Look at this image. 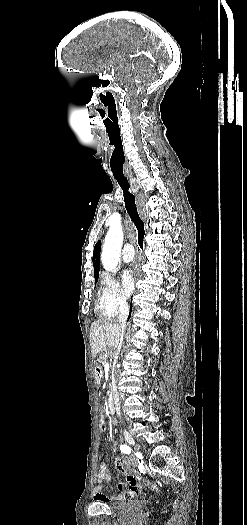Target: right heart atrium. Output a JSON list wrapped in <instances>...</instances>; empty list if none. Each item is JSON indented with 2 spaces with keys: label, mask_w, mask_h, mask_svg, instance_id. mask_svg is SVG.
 I'll return each instance as SVG.
<instances>
[{
  "label": "right heart atrium",
  "mask_w": 247,
  "mask_h": 525,
  "mask_svg": "<svg viewBox=\"0 0 247 525\" xmlns=\"http://www.w3.org/2000/svg\"><path fill=\"white\" fill-rule=\"evenodd\" d=\"M102 288L98 303L103 311L109 315H116L127 305V295L122 291L117 277L111 273H105L101 277Z\"/></svg>",
  "instance_id": "1"
}]
</instances>
